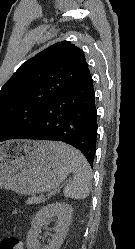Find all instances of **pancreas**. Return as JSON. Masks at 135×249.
<instances>
[{
    "mask_svg": "<svg viewBox=\"0 0 135 249\" xmlns=\"http://www.w3.org/2000/svg\"><path fill=\"white\" fill-rule=\"evenodd\" d=\"M46 199L45 197L43 196H40V197H37V196H33V197H30L26 200V203L27 204H39L41 202H44Z\"/></svg>",
    "mask_w": 135,
    "mask_h": 249,
    "instance_id": "pancreas-1",
    "label": "pancreas"
}]
</instances>
